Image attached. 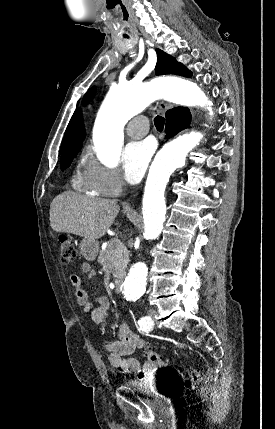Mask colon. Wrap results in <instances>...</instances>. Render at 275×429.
<instances>
[{
	"label": "colon",
	"instance_id": "5ec220e1",
	"mask_svg": "<svg viewBox=\"0 0 275 429\" xmlns=\"http://www.w3.org/2000/svg\"><path fill=\"white\" fill-rule=\"evenodd\" d=\"M76 258V249L74 244L68 239H62L60 241V259L64 264L72 263ZM146 356L149 362L152 364L163 368L166 366V360L159 354L153 352L150 349L146 350ZM201 374L197 369L191 371L189 379L186 381L185 385L187 388H194L196 384L200 381Z\"/></svg>",
	"mask_w": 275,
	"mask_h": 429
}]
</instances>
